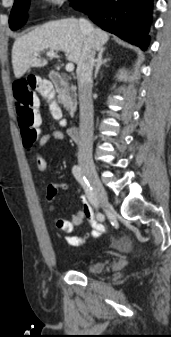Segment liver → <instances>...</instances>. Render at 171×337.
<instances>
[{
  "instance_id": "liver-1",
  "label": "liver",
  "mask_w": 171,
  "mask_h": 337,
  "mask_svg": "<svg viewBox=\"0 0 171 337\" xmlns=\"http://www.w3.org/2000/svg\"><path fill=\"white\" fill-rule=\"evenodd\" d=\"M87 34L80 29L75 18L51 21L35 28L31 32L18 37L12 48V65L16 78H21L31 67H44L46 59L39 58L35 53L44 50L63 51L68 61L79 64ZM109 40V35L94 29L93 48L100 50Z\"/></svg>"
}]
</instances>
